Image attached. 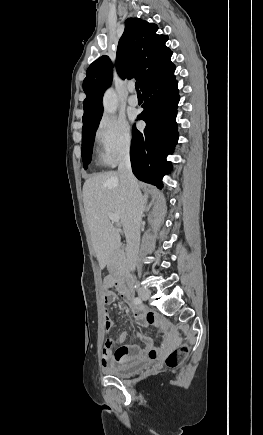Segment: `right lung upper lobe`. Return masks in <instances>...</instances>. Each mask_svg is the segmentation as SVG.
<instances>
[{
	"mask_svg": "<svg viewBox=\"0 0 263 435\" xmlns=\"http://www.w3.org/2000/svg\"><path fill=\"white\" fill-rule=\"evenodd\" d=\"M158 27L139 18L125 21V30L119 40L116 69L121 78L135 77L141 90L165 71L171 63V50L165 46L168 37L157 35ZM112 82V63L104 55L94 61L86 72L83 90V129L97 123L103 113L102 97Z\"/></svg>",
	"mask_w": 263,
	"mask_h": 435,
	"instance_id": "right-lung-upper-lobe-1",
	"label": "right lung upper lobe"
}]
</instances>
